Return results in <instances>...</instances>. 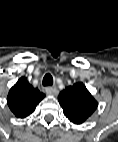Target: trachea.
Returning a JSON list of instances; mask_svg holds the SVG:
<instances>
[{"instance_id":"1","label":"trachea","mask_w":118,"mask_h":142,"mask_svg":"<svg viewBox=\"0 0 118 142\" xmlns=\"http://www.w3.org/2000/svg\"><path fill=\"white\" fill-rule=\"evenodd\" d=\"M53 85V77L50 73H47L43 78V86H52Z\"/></svg>"}]
</instances>
